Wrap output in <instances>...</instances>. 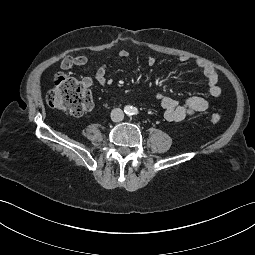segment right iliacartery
Segmentation results:
<instances>
[{
  "mask_svg": "<svg viewBox=\"0 0 255 255\" xmlns=\"http://www.w3.org/2000/svg\"><path fill=\"white\" fill-rule=\"evenodd\" d=\"M130 110V108L129 107H126V111H129Z\"/></svg>",
  "mask_w": 255,
  "mask_h": 255,
  "instance_id": "right-iliac-artery-1",
  "label": "right iliac artery"
}]
</instances>
